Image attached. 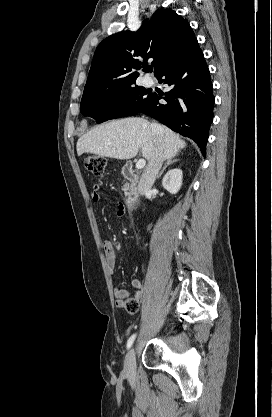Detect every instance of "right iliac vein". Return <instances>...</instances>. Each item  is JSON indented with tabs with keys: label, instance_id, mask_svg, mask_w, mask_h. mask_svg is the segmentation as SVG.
Wrapping results in <instances>:
<instances>
[{
	"label": "right iliac vein",
	"instance_id": "63e3f726",
	"mask_svg": "<svg viewBox=\"0 0 272 417\" xmlns=\"http://www.w3.org/2000/svg\"><path fill=\"white\" fill-rule=\"evenodd\" d=\"M135 349L131 348L128 354L126 355L125 365H124V372L129 377H133L135 375V368H136V361H135Z\"/></svg>",
	"mask_w": 272,
	"mask_h": 417
}]
</instances>
